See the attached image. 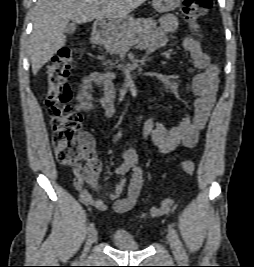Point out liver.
I'll list each match as a JSON object with an SVG mask.
<instances>
[{
	"label": "liver",
	"instance_id": "obj_1",
	"mask_svg": "<svg viewBox=\"0 0 254 267\" xmlns=\"http://www.w3.org/2000/svg\"><path fill=\"white\" fill-rule=\"evenodd\" d=\"M144 2L146 0H38L29 40L33 75L65 45L64 32L70 20L81 24L94 19H120Z\"/></svg>",
	"mask_w": 254,
	"mask_h": 267
}]
</instances>
